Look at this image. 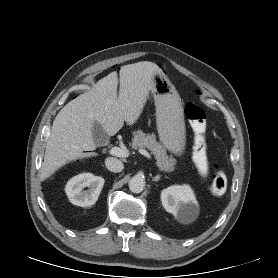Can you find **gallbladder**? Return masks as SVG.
Returning <instances> with one entry per match:
<instances>
[{
	"mask_svg": "<svg viewBox=\"0 0 278 278\" xmlns=\"http://www.w3.org/2000/svg\"><path fill=\"white\" fill-rule=\"evenodd\" d=\"M92 133H93L94 141L98 146H103L108 143L109 137L106 134L105 130L97 121H95L93 124Z\"/></svg>",
	"mask_w": 278,
	"mask_h": 278,
	"instance_id": "gallbladder-1",
	"label": "gallbladder"
}]
</instances>
